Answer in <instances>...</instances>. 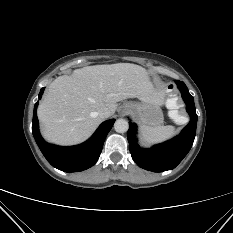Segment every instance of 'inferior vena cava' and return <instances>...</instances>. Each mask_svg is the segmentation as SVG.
I'll return each mask as SVG.
<instances>
[{"instance_id":"1","label":"inferior vena cava","mask_w":233,"mask_h":233,"mask_svg":"<svg viewBox=\"0 0 233 233\" xmlns=\"http://www.w3.org/2000/svg\"><path fill=\"white\" fill-rule=\"evenodd\" d=\"M98 116L102 119H105L111 116V112L107 108H104L98 112Z\"/></svg>"}]
</instances>
